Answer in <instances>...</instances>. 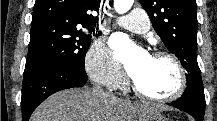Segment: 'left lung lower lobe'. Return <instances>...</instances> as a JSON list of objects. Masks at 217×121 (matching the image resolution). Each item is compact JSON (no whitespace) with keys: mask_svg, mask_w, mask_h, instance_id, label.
I'll return each instance as SVG.
<instances>
[{"mask_svg":"<svg viewBox=\"0 0 217 121\" xmlns=\"http://www.w3.org/2000/svg\"><path fill=\"white\" fill-rule=\"evenodd\" d=\"M168 105L189 113L196 121L204 119L205 97L194 85H187L182 96Z\"/></svg>","mask_w":217,"mask_h":121,"instance_id":"1","label":"left lung lower lobe"}]
</instances>
